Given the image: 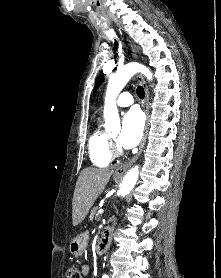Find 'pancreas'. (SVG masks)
Instances as JSON below:
<instances>
[{
  "instance_id": "pancreas-1",
  "label": "pancreas",
  "mask_w": 221,
  "mask_h": 278,
  "mask_svg": "<svg viewBox=\"0 0 221 278\" xmlns=\"http://www.w3.org/2000/svg\"><path fill=\"white\" fill-rule=\"evenodd\" d=\"M98 207H94L92 210H91V213H90V221L93 220L94 217H97L98 216Z\"/></svg>"
}]
</instances>
